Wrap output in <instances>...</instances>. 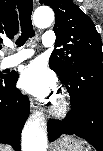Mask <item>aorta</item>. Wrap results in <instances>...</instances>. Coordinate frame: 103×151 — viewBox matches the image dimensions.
I'll list each match as a JSON object with an SVG mask.
<instances>
[{
  "instance_id": "aorta-1",
  "label": "aorta",
  "mask_w": 103,
  "mask_h": 151,
  "mask_svg": "<svg viewBox=\"0 0 103 151\" xmlns=\"http://www.w3.org/2000/svg\"><path fill=\"white\" fill-rule=\"evenodd\" d=\"M38 28H47L54 21V12L49 7H39L33 14ZM22 151H47V136L44 127L37 119L26 123L22 132Z\"/></svg>"
}]
</instances>
